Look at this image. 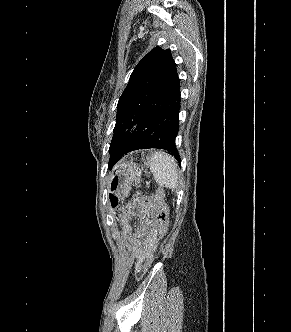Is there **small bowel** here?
<instances>
[{
	"instance_id": "1",
	"label": "small bowel",
	"mask_w": 291,
	"mask_h": 332,
	"mask_svg": "<svg viewBox=\"0 0 291 332\" xmlns=\"http://www.w3.org/2000/svg\"><path fill=\"white\" fill-rule=\"evenodd\" d=\"M123 226L124 230L129 233L130 241L139 247L141 257H147L157 242V238L160 234V227L155 226L151 228H132L127 222H125Z\"/></svg>"
}]
</instances>
